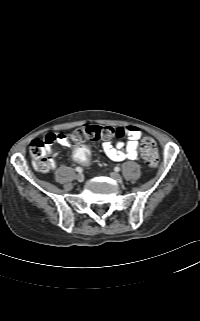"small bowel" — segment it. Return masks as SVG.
Segmentation results:
<instances>
[{
  "label": "small bowel",
  "instance_id": "obj_1",
  "mask_svg": "<svg viewBox=\"0 0 200 321\" xmlns=\"http://www.w3.org/2000/svg\"><path fill=\"white\" fill-rule=\"evenodd\" d=\"M122 134L126 136V140H118L112 142L110 140H105L102 143V150L105 155L112 161L120 162L124 160H135L138 157V140L142 136V131L137 126H126L125 128H120ZM48 135H53L55 138L52 143L57 142L64 147H71L72 144L65 133H49ZM47 146V151L51 152V144ZM55 168V163L51 160V169Z\"/></svg>",
  "mask_w": 200,
  "mask_h": 321
}]
</instances>
